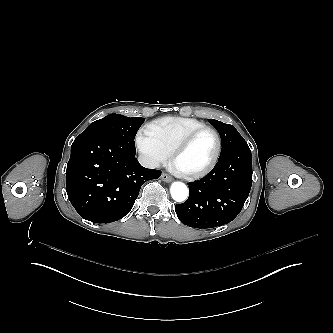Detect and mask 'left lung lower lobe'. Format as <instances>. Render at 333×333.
I'll return each instance as SVG.
<instances>
[{
    "label": "left lung lower lobe",
    "instance_id": "obj_1",
    "mask_svg": "<svg viewBox=\"0 0 333 333\" xmlns=\"http://www.w3.org/2000/svg\"><path fill=\"white\" fill-rule=\"evenodd\" d=\"M252 186L248 145L221 155L199 181L189 183V198L175 205L179 220L194 228H214L231 222L242 210Z\"/></svg>",
    "mask_w": 333,
    "mask_h": 333
}]
</instances>
